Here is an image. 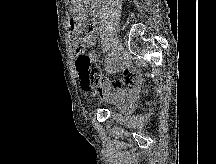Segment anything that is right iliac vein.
I'll return each mask as SVG.
<instances>
[{"mask_svg":"<svg viewBox=\"0 0 216 164\" xmlns=\"http://www.w3.org/2000/svg\"><path fill=\"white\" fill-rule=\"evenodd\" d=\"M121 51H122V46L119 42L116 43L115 48H114V67L118 64L120 57H121Z\"/></svg>","mask_w":216,"mask_h":164,"instance_id":"1","label":"right iliac vein"}]
</instances>
